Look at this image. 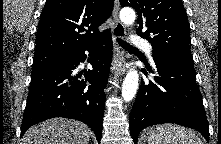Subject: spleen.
<instances>
[{
    "label": "spleen",
    "mask_w": 221,
    "mask_h": 144,
    "mask_svg": "<svg viewBox=\"0 0 221 144\" xmlns=\"http://www.w3.org/2000/svg\"><path fill=\"white\" fill-rule=\"evenodd\" d=\"M148 144H203L190 129L176 124L156 127L148 136Z\"/></svg>",
    "instance_id": "obj_1"
}]
</instances>
